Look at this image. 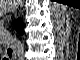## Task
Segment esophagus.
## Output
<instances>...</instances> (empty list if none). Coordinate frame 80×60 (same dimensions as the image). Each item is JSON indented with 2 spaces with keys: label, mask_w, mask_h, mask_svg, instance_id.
Here are the masks:
<instances>
[{
  "label": "esophagus",
  "mask_w": 80,
  "mask_h": 60,
  "mask_svg": "<svg viewBox=\"0 0 80 60\" xmlns=\"http://www.w3.org/2000/svg\"><path fill=\"white\" fill-rule=\"evenodd\" d=\"M10 49H11V52H12L11 57L13 58V57L16 56V51H15V49L12 46H10Z\"/></svg>",
  "instance_id": "obj_1"
}]
</instances>
